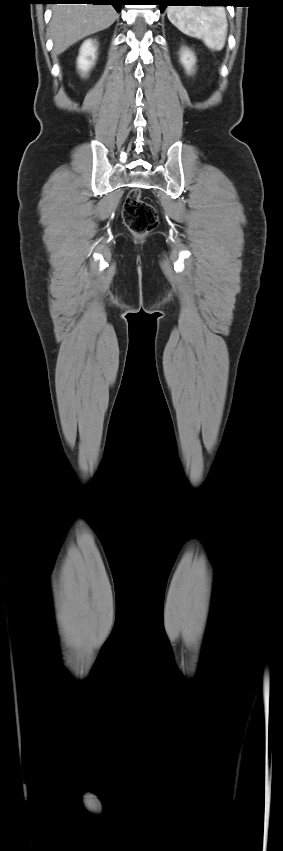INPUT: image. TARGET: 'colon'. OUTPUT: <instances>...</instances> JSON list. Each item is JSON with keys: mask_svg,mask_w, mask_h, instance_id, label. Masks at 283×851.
Segmentation results:
<instances>
[{"mask_svg": "<svg viewBox=\"0 0 283 851\" xmlns=\"http://www.w3.org/2000/svg\"><path fill=\"white\" fill-rule=\"evenodd\" d=\"M123 221L136 236H143L156 228L158 214L150 203L142 200L140 191L131 190L124 202L122 210Z\"/></svg>", "mask_w": 283, "mask_h": 851, "instance_id": "colon-1", "label": "colon"}]
</instances>
